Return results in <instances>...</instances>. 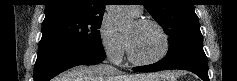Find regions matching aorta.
Returning a JSON list of instances; mask_svg holds the SVG:
<instances>
[{
    "instance_id": "aorta-1",
    "label": "aorta",
    "mask_w": 237,
    "mask_h": 81,
    "mask_svg": "<svg viewBox=\"0 0 237 81\" xmlns=\"http://www.w3.org/2000/svg\"><path fill=\"white\" fill-rule=\"evenodd\" d=\"M107 13L118 31H124L133 24V17L124 5H109Z\"/></svg>"
}]
</instances>
